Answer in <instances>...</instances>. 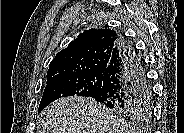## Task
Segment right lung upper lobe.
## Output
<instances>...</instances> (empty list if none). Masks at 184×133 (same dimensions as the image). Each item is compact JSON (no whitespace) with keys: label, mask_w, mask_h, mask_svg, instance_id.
I'll use <instances>...</instances> for the list:
<instances>
[{"label":"right lung upper lobe","mask_w":184,"mask_h":133,"mask_svg":"<svg viewBox=\"0 0 184 133\" xmlns=\"http://www.w3.org/2000/svg\"><path fill=\"white\" fill-rule=\"evenodd\" d=\"M120 36L111 29H89L80 33L50 62L47 82L65 77L103 73Z\"/></svg>","instance_id":"right-lung-upper-lobe-1"}]
</instances>
